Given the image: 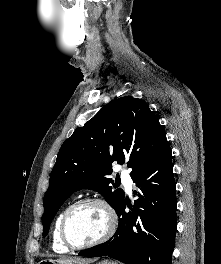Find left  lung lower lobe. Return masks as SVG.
Instances as JSON below:
<instances>
[{"label": "left lung lower lobe", "mask_w": 221, "mask_h": 264, "mask_svg": "<svg viewBox=\"0 0 221 264\" xmlns=\"http://www.w3.org/2000/svg\"><path fill=\"white\" fill-rule=\"evenodd\" d=\"M139 198L132 207L124 198L116 208L119 226L105 243L81 256H109L125 264H171L177 228L176 184L171 149L165 140L153 160L131 177ZM142 192V194L140 193ZM126 205L130 208L125 212Z\"/></svg>", "instance_id": "1"}]
</instances>
